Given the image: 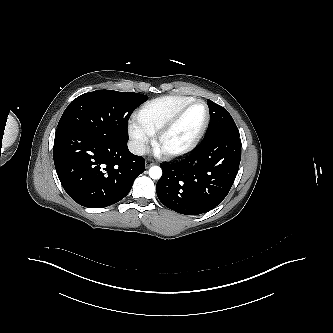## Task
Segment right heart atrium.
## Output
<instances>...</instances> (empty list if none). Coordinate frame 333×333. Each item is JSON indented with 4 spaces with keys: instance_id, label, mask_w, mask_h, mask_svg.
I'll return each instance as SVG.
<instances>
[{
    "instance_id": "right-heart-atrium-1",
    "label": "right heart atrium",
    "mask_w": 333,
    "mask_h": 333,
    "mask_svg": "<svg viewBox=\"0 0 333 333\" xmlns=\"http://www.w3.org/2000/svg\"><path fill=\"white\" fill-rule=\"evenodd\" d=\"M128 133L131 139L133 150L142 154L150 140V134L140 125L136 119H132L128 123Z\"/></svg>"
}]
</instances>
